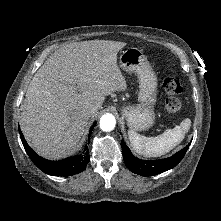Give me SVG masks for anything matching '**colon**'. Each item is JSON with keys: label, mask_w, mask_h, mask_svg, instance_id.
<instances>
[{"label": "colon", "mask_w": 221, "mask_h": 221, "mask_svg": "<svg viewBox=\"0 0 221 221\" xmlns=\"http://www.w3.org/2000/svg\"><path fill=\"white\" fill-rule=\"evenodd\" d=\"M162 87L164 93L167 95L165 111L168 114H174L181 108V102L178 99V96L183 91L181 83L178 78L169 76L164 79Z\"/></svg>", "instance_id": "colon-1"}]
</instances>
